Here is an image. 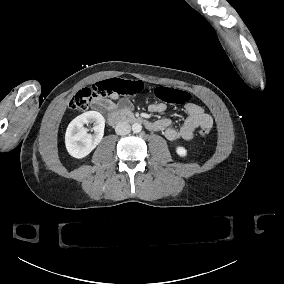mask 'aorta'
I'll use <instances>...</instances> for the list:
<instances>
[{
  "label": "aorta",
  "instance_id": "1",
  "mask_svg": "<svg viewBox=\"0 0 284 284\" xmlns=\"http://www.w3.org/2000/svg\"><path fill=\"white\" fill-rule=\"evenodd\" d=\"M141 130H142L141 124H139V123H134V124L132 125V131H133L134 133H139V132H141Z\"/></svg>",
  "mask_w": 284,
  "mask_h": 284
}]
</instances>
